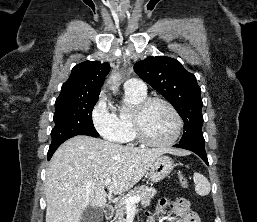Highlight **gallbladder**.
<instances>
[{
	"label": "gallbladder",
	"mask_w": 257,
	"mask_h": 222,
	"mask_svg": "<svg viewBox=\"0 0 257 222\" xmlns=\"http://www.w3.org/2000/svg\"><path fill=\"white\" fill-rule=\"evenodd\" d=\"M103 216L101 208L87 206L81 215L80 222H102Z\"/></svg>",
	"instance_id": "obj_1"
}]
</instances>
